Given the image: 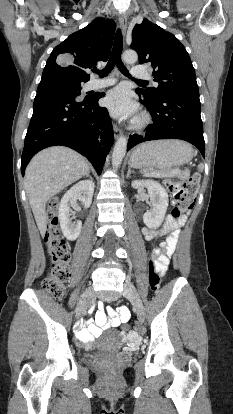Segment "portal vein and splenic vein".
Returning <instances> with one entry per match:
<instances>
[{
	"label": "portal vein and splenic vein",
	"instance_id": "portal-vein-and-splenic-vein-1",
	"mask_svg": "<svg viewBox=\"0 0 233 414\" xmlns=\"http://www.w3.org/2000/svg\"><path fill=\"white\" fill-rule=\"evenodd\" d=\"M178 170H175V172H177ZM149 173H146L145 175H148Z\"/></svg>",
	"mask_w": 233,
	"mask_h": 414
}]
</instances>
